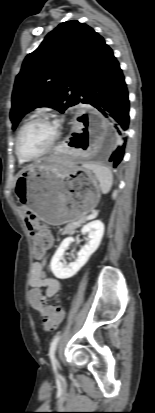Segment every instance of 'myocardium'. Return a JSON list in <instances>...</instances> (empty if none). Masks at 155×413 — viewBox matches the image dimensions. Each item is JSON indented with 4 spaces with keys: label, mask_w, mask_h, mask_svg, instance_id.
Segmentation results:
<instances>
[{
    "label": "myocardium",
    "mask_w": 155,
    "mask_h": 413,
    "mask_svg": "<svg viewBox=\"0 0 155 413\" xmlns=\"http://www.w3.org/2000/svg\"><path fill=\"white\" fill-rule=\"evenodd\" d=\"M39 120H44V121H49L51 123H53L54 127H55V134L54 137L52 139V141L50 142V144L40 153L35 154V155H26L22 152L21 150V146H20V142H21V137H22V133L24 131V129L30 125L31 123L35 122V121H39ZM60 136V128H59V123L56 119H54L53 117H51L50 115L47 114H37L33 117H31L30 119H28L19 129L17 137H16V142H15V151L17 156L22 159L23 161H31V160H36L44 155H46L47 153H49L56 145V142L58 141Z\"/></svg>",
    "instance_id": "myocardium-1"
}]
</instances>
